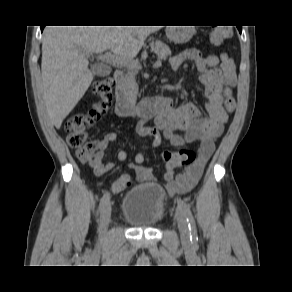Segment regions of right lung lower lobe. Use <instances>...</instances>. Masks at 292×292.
I'll return each mask as SVG.
<instances>
[{
	"label": "right lung lower lobe",
	"mask_w": 292,
	"mask_h": 292,
	"mask_svg": "<svg viewBox=\"0 0 292 292\" xmlns=\"http://www.w3.org/2000/svg\"><path fill=\"white\" fill-rule=\"evenodd\" d=\"M45 26H41V31H43V28H44Z\"/></svg>",
	"instance_id": "98d812e1"
}]
</instances>
